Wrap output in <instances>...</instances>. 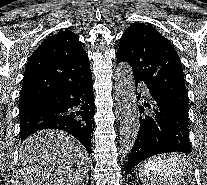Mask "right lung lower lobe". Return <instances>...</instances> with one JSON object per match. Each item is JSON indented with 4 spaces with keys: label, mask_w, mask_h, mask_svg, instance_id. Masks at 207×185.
<instances>
[{
    "label": "right lung lower lobe",
    "mask_w": 207,
    "mask_h": 185,
    "mask_svg": "<svg viewBox=\"0 0 207 185\" xmlns=\"http://www.w3.org/2000/svg\"><path fill=\"white\" fill-rule=\"evenodd\" d=\"M94 112L90 75L82 81L70 83L54 97L19 110L21 143L36 131L59 129L78 139L90 154Z\"/></svg>",
    "instance_id": "right-lung-lower-lobe-1"
}]
</instances>
